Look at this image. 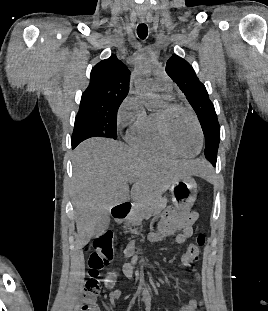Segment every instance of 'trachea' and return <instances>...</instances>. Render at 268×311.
<instances>
[{
    "instance_id": "1",
    "label": "trachea",
    "mask_w": 268,
    "mask_h": 311,
    "mask_svg": "<svg viewBox=\"0 0 268 311\" xmlns=\"http://www.w3.org/2000/svg\"><path fill=\"white\" fill-rule=\"evenodd\" d=\"M137 34L139 38L145 39L148 35V27L145 23H141L137 27Z\"/></svg>"
}]
</instances>
